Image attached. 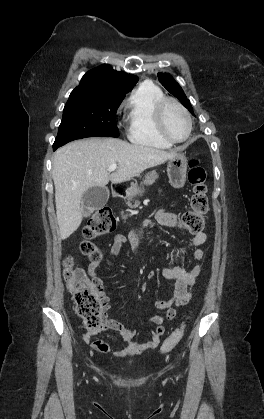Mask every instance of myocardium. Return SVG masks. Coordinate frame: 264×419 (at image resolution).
<instances>
[{
	"label": "myocardium",
	"mask_w": 264,
	"mask_h": 419,
	"mask_svg": "<svg viewBox=\"0 0 264 419\" xmlns=\"http://www.w3.org/2000/svg\"><path fill=\"white\" fill-rule=\"evenodd\" d=\"M169 105H174L175 107H177L183 113V115L185 116L187 120L188 132H187V135L183 139L173 138L167 133L165 129L164 115ZM155 126H156V130L159 136L170 144H179L188 140V138L190 137L192 133V127H193L192 119L188 110L179 101L173 98H169V97L162 98L155 107Z\"/></svg>",
	"instance_id": "1"
}]
</instances>
